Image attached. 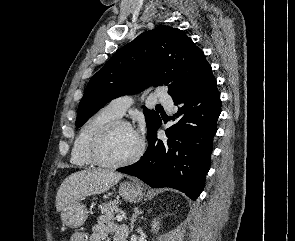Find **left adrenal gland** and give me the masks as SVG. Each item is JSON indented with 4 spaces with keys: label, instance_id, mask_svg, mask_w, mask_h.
I'll use <instances>...</instances> for the list:
<instances>
[{
    "label": "left adrenal gland",
    "instance_id": "1",
    "mask_svg": "<svg viewBox=\"0 0 295 241\" xmlns=\"http://www.w3.org/2000/svg\"><path fill=\"white\" fill-rule=\"evenodd\" d=\"M143 213V211H140L139 210V208L138 207H135L134 208V213H133V215H132V217H131V223H130V231L132 232L133 231V229H134V222L136 221V219H137V216H139L140 214H142Z\"/></svg>",
    "mask_w": 295,
    "mask_h": 241
}]
</instances>
